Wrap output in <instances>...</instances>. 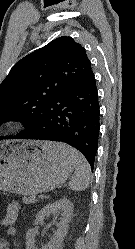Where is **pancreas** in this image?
I'll return each mask as SVG.
<instances>
[{
	"instance_id": "1",
	"label": "pancreas",
	"mask_w": 135,
	"mask_h": 249,
	"mask_svg": "<svg viewBox=\"0 0 135 249\" xmlns=\"http://www.w3.org/2000/svg\"><path fill=\"white\" fill-rule=\"evenodd\" d=\"M35 201H36V198L34 195L23 198V203H25V204L35 203Z\"/></svg>"
}]
</instances>
